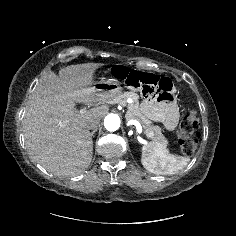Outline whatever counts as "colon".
Here are the masks:
<instances>
[{
	"mask_svg": "<svg viewBox=\"0 0 236 236\" xmlns=\"http://www.w3.org/2000/svg\"><path fill=\"white\" fill-rule=\"evenodd\" d=\"M111 75L128 86H141L144 94L156 92L161 95H170L173 90L172 82L169 79H160L153 75L141 74L137 71H131L124 66H115L111 70ZM198 124V113L195 110H189L176 129L180 149L186 156L192 155L199 144L200 134L197 131Z\"/></svg>",
	"mask_w": 236,
	"mask_h": 236,
	"instance_id": "5ec220e1",
	"label": "colon"
}]
</instances>
